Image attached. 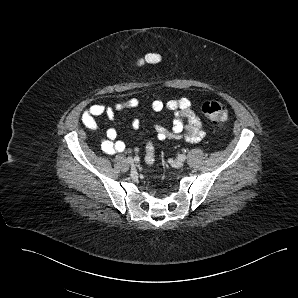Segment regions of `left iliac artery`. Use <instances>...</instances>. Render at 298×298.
Instances as JSON below:
<instances>
[{
    "mask_svg": "<svg viewBox=\"0 0 298 298\" xmlns=\"http://www.w3.org/2000/svg\"><path fill=\"white\" fill-rule=\"evenodd\" d=\"M178 159L181 160V161H184V160H186V156L183 155V154H179Z\"/></svg>",
    "mask_w": 298,
    "mask_h": 298,
    "instance_id": "44dca946",
    "label": "left iliac artery"
}]
</instances>
